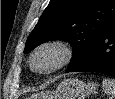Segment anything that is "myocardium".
<instances>
[{"label": "myocardium", "mask_w": 115, "mask_h": 99, "mask_svg": "<svg viewBox=\"0 0 115 99\" xmlns=\"http://www.w3.org/2000/svg\"><path fill=\"white\" fill-rule=\"evenodd\" d=\"M44 50L56 51L58 53V61L55 65H53L52 67L46 70H39L34 66V59L40 52ZM73 54H74V50L69 42L62 39L48 40L39 44L32 51L29 58V64L34 72L42 75H48L66 66L71 61Z\"/></svg>", "instance_id": "1"}]
</instances>
